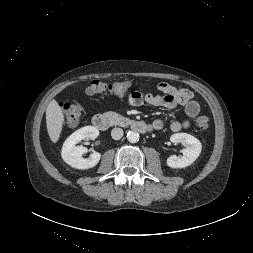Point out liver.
<instances>
[{"label": "liver", "mask_w": 253, "mask_h": 253, "mask_svg": "<svg viewBox=\"0 0 253 253\" xmlns=\"http://www.w3.org/2000/svg\"><path fill=\"white\" fill-rule=\"evenodd\" d=\"M64 114L56 100H51L46 109V125L48 135L53 143H56L62 132Z\"/></svg>", "instance_id": "obj_1"}]
</instances>
